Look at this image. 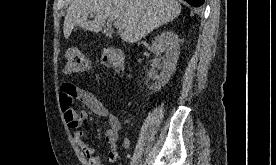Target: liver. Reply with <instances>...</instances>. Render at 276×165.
I'll return each instance as SVG.
<instances>
[{
  "mask_svg": "<svg viewBox=\"0 0 276 165\" xmlns=\"http://www.w3.org/2000/svg\"><path fill=\"white\" fill-rule=\"evenodd\" d=\"M180 13L181 5L175 0H73L67 9L63 32L66 39L77 26L98 33L106 19L119 20L121 39L135 43ZM89 14L93 21L87 20Z\"/></svg>",
  "mask_w": 276,
  "mask_h": 165,
  "instance_id": "obj_1",
  "label": "liver"
}]
</instances>
